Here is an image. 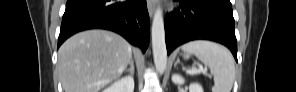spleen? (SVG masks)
<instances>
[{
    "mask_svg": "<svg viewBox=\"0 0 296 92\" xmlns=\"http://www.w3.org/2000/svg\"><path fill=\"white\" fill-rule=\"evenodd\" d=\"M184 52L194 54L208 66L214 77L212 92H230L235 77L234 60L229 50L210 41H191L182 45Z\"/></svg>",
    "mask_w": 296,
    "mask_h": 92,
    "instance_id": "3e777b00",
    "label": "spleen"
}]
</instances>
